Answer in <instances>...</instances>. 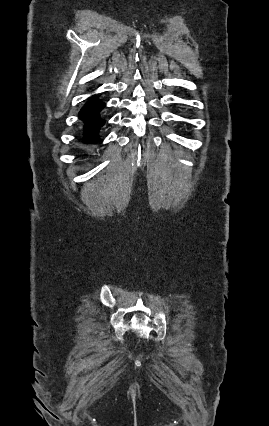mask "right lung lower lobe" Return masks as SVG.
Wrapping results in <instances>:
<instances>
[{
    "instance_id": "right-lung-lower-lobe-1",
    "label": "right lung lower lobe",
    "mask_w": 269,
    "mask_h": 426,
    "mask_svg": "<svg viewBox=\"0 0 269 426\" xmlns=\"http://www.w3.org/2000/svg\"><path fill=\"white\" fill-rule=\"evenodd\" d=\"M104 103L92 98L81 109L79 116L84 121V140L94 142L98 139V131L105 123L99 117V112L104 108Z\"/></svg>"
}]
</instances>
